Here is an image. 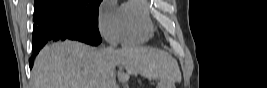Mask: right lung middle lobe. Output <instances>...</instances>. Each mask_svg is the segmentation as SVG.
I'll return each instance as SVG.
<instances>
[{
  "mask_svg": "<svg viewBox=\"0 0 267 88\" xmlns=\"http://www.w3.org/2000/svg\"><path fill=\"white\" fill-rule=\"evenodd\" d=\"M102 0H36L35 6L45 2L48 6L60 9L88 27L98 28V8Z\"/></svg>",
  "mask_w": 267,
  "mask_h": 88,
  "instance_id": "1",
  "label": "right lung middle lobe"
}]
</instances>
